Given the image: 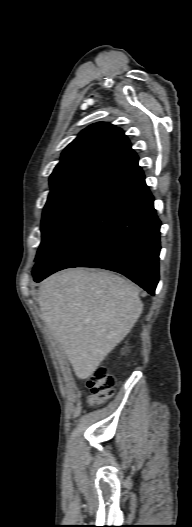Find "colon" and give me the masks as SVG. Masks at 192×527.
<instances>
[{"instance_id": "obj_1", "label": "colon", "mask_w": 192, "mask_h": 527, "mask_svg": "<svg viewBox=\"0 0 192 527\" xmlns=\"http://www.w3.org/2000/svg\"><path fill=\"white\" fill-rule=\"evenodd\" d=\"M115 384V378L105 367H97L87 381L91 391L88 397L89 405H99L107 401L114 393Z\"/></svg>"}]
</instances>
